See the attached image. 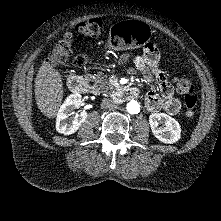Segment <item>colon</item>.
Segmentation results:
<instances>
[{
    "label": "colon",
    "instance_id": "colon-1",
    "mask_svg": "<svg viewBox=\"0 0 221 221\" xmlns=\"http://www.w3.org/2000/svg\"><path fill=\"white\" fill-rule=\"evenodd\" d=\"M103 22L100 18H91L76 25L75 34H66L53 48L48 56V63L53 66L67 63L73 56V43L75 40L84 43L90 38L100 36ZM149 56L154 60L158 57L156 48L148 52ZM87 59L86 55H78L72 58L74 65H81ZM177 91L184 95L185 115L192 118L197 108V96L194 94V88L190 81L180 79L177 81Z\"/></svg>",
    "mask_w": 221,
    "mask_h": 221
}]
</instances>
